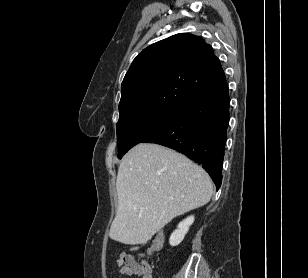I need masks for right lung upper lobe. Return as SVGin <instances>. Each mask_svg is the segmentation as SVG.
<instances>
[{"label": "right lung upper lobe", "mask_w": 308, "mask_h": 278, "mask_svg": "<svg viewBox=\"0 0 308 278\" xmlns=\"http://www.w3.org/2000/svg\"><path fill=\"white\" fill-rule=\"evenodd\" d=\"M226 83L219 59L203 38L173 35L134 59L121 86L119 120L149 109H178Z\"/></svg>", "instance_id": "1"}]
</instances>
